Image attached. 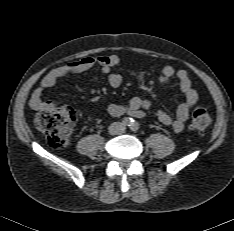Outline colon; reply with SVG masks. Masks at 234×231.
Returning <instances> with one entry per match:
<instances>
[{"instance_id":"colon-1","label":"colon","mask_w":234,"mask_h":231,"mask_svg":"<svg viewBox=\"0 0 234 231\" xmlns=\"http://www.w3.org/2000/svg\"><path fill=\"white\" fill-rule=\"evenodd\" d=\"M76 120L72 108L60 107L52 110H41L34 118L35 126L43 132L49 145L55 149H64L70 142V131ZM191 124L195 130L205 131L211 124V116L206 108L197 107L191 115Z\"/></svg>"}]
</instances>
